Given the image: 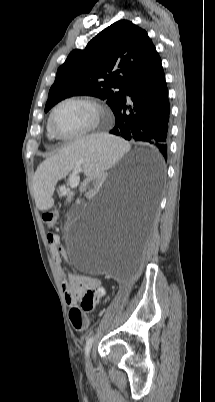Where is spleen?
<instances>
[{"mask_svg":"<svg viewBox=\"0 0 215 402\" xmlns=\"http://www.w3.org/2000/svg\"><path fill=\"white\" fill-rule=\"evenodd\" d=\"M129 149L127 142L102 134H92L66 146L56 156L44 161L37 170V210L54 209L55 204L49 194L56 182L71 170L83 169L86 176L93 175L97 169L110 168Z\"/></svg>","mask_w":215,"mask_h":402,"instance_id":"obj_1","label":"spleen"}]
</instances>
